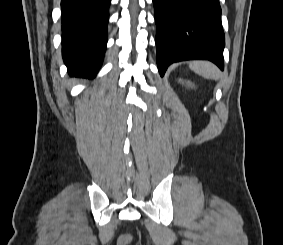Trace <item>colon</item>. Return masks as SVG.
<instances>
[{
    "label": "colon",
    "mask_w": 283,
    "mask_h": 245,
    "mask_svg": "<svg viewBox=\"0 0 283 245\" xmlns=\"http://www.w3.org/2000/svg\"><path fill=\"white\" fill-rule=\"evenodd\" d=\"M133 240V236L131 234H124L119 237L117 245H130Z\"/></svg>",
    "instance_id": "colon-1"
}]
</instances>
